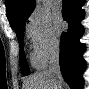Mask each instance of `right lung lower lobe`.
<instances>
[{
  "instance_id": "98d812e1",
  "label": "right lung lower lobe",
  "mask_w": 89,
  "mask_h": 89,
  "mask_svg": "<svg viewBox=\"0 0 89 89\" xmlns=\"http://www.w3.org/2000/svg\"><path fill=\"white\" fill-rule=\"evenodd\" d=\"M84 0H63V19L69 24L67 32H63L60 41V69L64 80L71 89H82L84 86L82 74L85 61L82 57L85 47L80 43L83 27L80 21L84 17L81 6Z\"/></svg>"
}]
</instances>
